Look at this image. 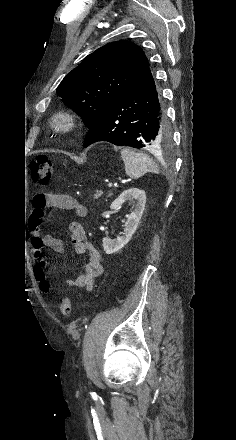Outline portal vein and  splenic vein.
Instances as JSON below:
<instances>
[{"instance_id":"18ae733b","label":"portal vein and splenic vein","mask_w":236,"mask_h":440,"mask_svg":"<svg viewBox=\"0 0 236 440\" xmlns=\"http://www.w3.org/2000/svg\"><path fill=\"white\" fill-rule=\"evenodd\" d=\"M112 186H113V183L110 182V183L108 184V187L111 188Z\"/></svg>"}]
</instances>
